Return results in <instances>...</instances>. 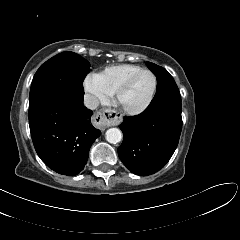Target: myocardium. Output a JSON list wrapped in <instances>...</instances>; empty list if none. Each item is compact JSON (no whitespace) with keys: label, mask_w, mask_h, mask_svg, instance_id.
Segmentation results:
<instances>
[{"label":"myocardium","mask_w":240,"mask_h":240,"mask_svg":"<svg viewBox=\"0 0 240 240\" xmlns=\"http://www.w3.org/2000/svg\"><path fill=\"white\" fill-rule=\"evenodd\" d=\"M144 73H149L152 75L153 79H154V87L152 90V93L149 97V99L146 101V103H144L142 106L137 107V108H128L125 107L121 104V97L123 96V94L131 87V85L133 84V82L142 74ZM157 89H158V77L156 75V73L150 69H142L140 71H138L137 73L133 74L131 77H129L115 92V99L116 102L123 108V110L130 114V115H139L144 113L153 103L154 98L156 96L157 93Z\"/></svg>","instance_id":"obj_1"}]
</instances>
